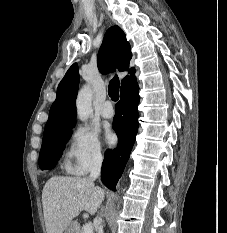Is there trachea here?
<instances>
[{"instance_id": "3493384b", "label": "trachea", "mask_w": 227, "mask_h": 233, "mask_svg": "<svg viewBox=\"0 0 227 233\" xmlns=\"http://www.w3.org/2000/svg\"><path fill=\"white\" fill-rule=\"evenodd\" d=\"M119 86H120L119 78L118 76H115L110 81L108 86V93L113 101H117L119 99Z\"/></svg>"}]
</instances>
